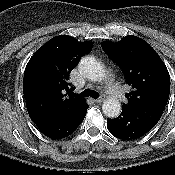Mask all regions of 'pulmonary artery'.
Instances as JSON below:
<instances>
[{
    "label": "pulmonary artery",
    "instance_id": "pulmonary-artery-1",
    "mask_svg": "<svg viewBox=\"0 0 175 175\" xmlns=\"http://www.w3.org/2000/svg\"><path fill=\"white\" fill-rule=\"evenodd\" d=\"M106 83H107L108 93L111 94L112 96L122 100L123 92L117 85H115L112 75L107 74Z\"/></svg>",
    "mask_w": 175,
    "mask_h": 175
}]
</instances>
